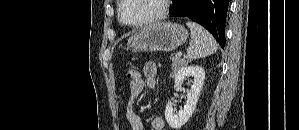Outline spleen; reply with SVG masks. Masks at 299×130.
I'll return each instance as SVG.
<instances>
[{"label":"spleen","instance_id":"1","mask_svg":"<svg viewBox=\"0 0 299 130\" xmlns=\"http://www.w3.org/2000/svg\"><path fill=\"white\" fill-rule=\"evenodd\" d=\"M186 25L190 28L192 37V42L187 49L189 60L204 58L217 51V42L207 30L192 21H187Z\"/></svg>","mask_w":299,"mask_h":130}]
</instances>
